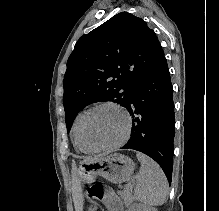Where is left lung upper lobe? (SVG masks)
Here are the masks:
<instances>
[{"label": "left lung upper lobe", "mask_w": 219, "mask_h": 211, "mask_svg": "<svg viewBox=\"0 0 219 211\" xmlns=\"http://www.w3.org/2000/svg\"><path fill=\"white\" fill-rule=\"evenodd\" d=\"M164 55L146 22L121 12L75 44L63 80L67 132L84 107L101 101L121 106L135 84Z\"/></svg>", "instance_id": "5c2ea615"}]
</instances>
